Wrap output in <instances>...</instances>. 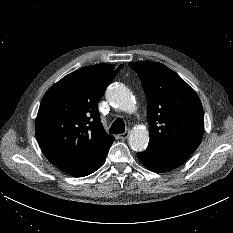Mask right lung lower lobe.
Returning <instances> with one entry per match:
<instances>
[{"mask_svg": "<svg viewBox=\"0 0 233 233\" xmlns=\"http://www.w3.org/2000/svg\"><path fill=\"white\" fill-rule=\"evenodd\" d=\"M108 150L109 149H107L96 161H94L90 165H88L85 168H83V169H81V170H79V171H77L75 173H72L70 175L74 176V177H84V176H87V175L95 172L104 163L106 155L108 153Z\"/></svg>", "mask_w": 233, "mask_h": 233, "instance_id": "1", "label": "right lung lower lobe"}]
</instances>
